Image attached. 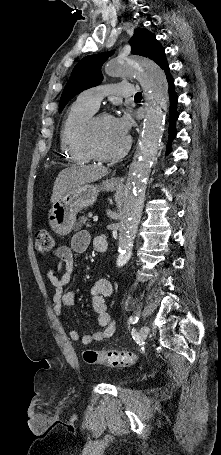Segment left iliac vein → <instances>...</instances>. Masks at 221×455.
<instances>
[{
  "label": "left iliac vein",
  "mask_w": 221,
  "mask_h": 455,
  "mask_svg": "<svg viewBox=\"0 0 221 455\" xmlns=\"http://www.w3.org/2000/svg\"><path fill=\"white\" fill-rule=\"evenodd\" d=\"M149 328L147 326H142L139 331V337L142 340H145L148 336Z\"/></svg>",
  "instance_id": "4c4485c4"
}]
</instances>
